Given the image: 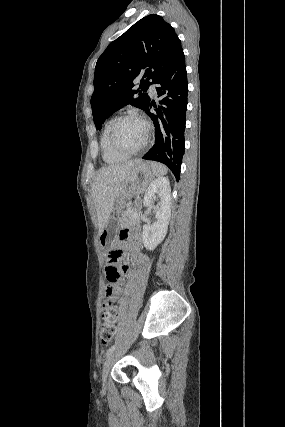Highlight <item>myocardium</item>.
I'll list each match as a JSON object with an SVG mask.
<instances>
[{
  "label": "myocardium",
  "instance_id": "obj_1",
  "mask_svg": "<svg viewBox=\"0 0 285 427\" xmlns=\"http://www.w3.org/2000/svg\"><path fill=\"white\" fill-rule=\"evenodd\" d=\"M126 119H135V120L142 122L144 124L145 130H146L143 142L138 147H136L135 149H132V150H128V149L122 147L115 139V130H116L118 124L121 121L126 120ZM150 133H151V126H150V123L148 122L147 119H145L143 116H141L137 113L128 112V113L121 114V115L117 116L116 118H114V120H113V122L109 128L108 139H109V143H110L111 147L116 152L124 154V155L131 156V155L137 154L138 152H140L141 150H143L147 146L149 139H150Z\"/></svg>",
  "mask_w": 285,
  "mask_h": 427
}]
</instances>
